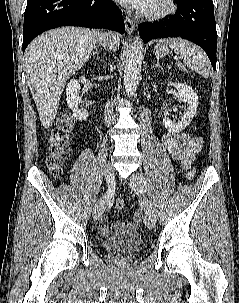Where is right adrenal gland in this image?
Wrapping results in <instances>:
<instances>
[{"instance_id": "2a0ac1e0", "label": "right adrenal gland", "mask_w": 239, "mask_h": 303, "mask_svg": "<svg viewBox=\"0 0 239 303\" xmlns=\"http://www.w3.org/2000/svg\"><path fill=\"white\" fill-rule=\"evenodd\" d=\"M95 55H96V60H97L99 58V52H98V48L96 46L94 47L92 54L90 55V58Z\"/></svg>"}]
</instances>
